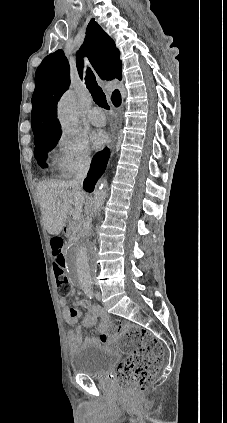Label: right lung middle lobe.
Segmentation results:
<instances>
[{"label": "right lung middle lobe", "mask_w": 227, "mask_h": 423, "mask_svg": "<svg viewBox=\"0 0 227 423\" xmlns=\"http://www.w3.org/2000/svg\"><path fill=\"white\" fill-rule=\"evenodd\" d=\"M59 138L60 134L35 138L34 157L37 160L38 164L43 167L47 166V164L45 163L47 153L56 146Z\"/></svg>", "instance_id": "1"}]
</instances>
